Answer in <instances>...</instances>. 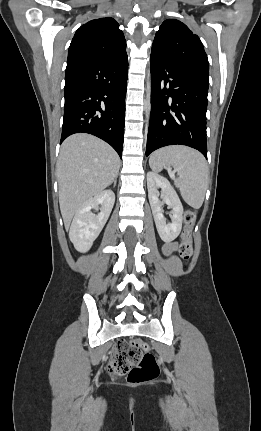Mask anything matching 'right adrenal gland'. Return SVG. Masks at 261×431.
Here are the masks:
<instances>
[{"label":"right adrenal gland","instance_id":"2a0ac1e0","mask_svg":"<svg viewBox=\"0 0 261 431\" xmlns=\"http://www.w3.org/2000/svg\"><path fill=\"white\" fill-rule=\"evenodd\" d=\"M116 183H117V176L113 180V187H116Z\"/></svg>","mask_w":261,"mask_h":431}]
</instances>
